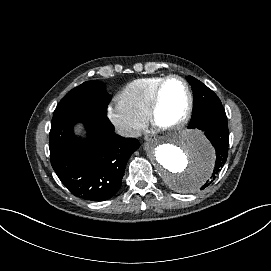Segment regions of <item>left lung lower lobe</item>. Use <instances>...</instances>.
I'll use <instances>...</instances> for the list:
<instances>
[{"label": "left lung lower lobe", "mask_w": 271, "mask_h": 271, "mask_svg": "<svg viewBox=\"0 0 271 271\" xmlns=\"http://www.w3.org/2000/svg\"><path fill=\"white\" fill-rule=\"evenodd\" d=\"M189 129L197 128L202 130L209 141L214 145L216 151L215 168L208 180L201 189L212 182L224 166L228 156L229 130L224 107L212 105L203 110L201 115L193 123L188 125Z\"/></svg>", "instance_id": "left-lung-lower-lobe-1"}]
</instances>
